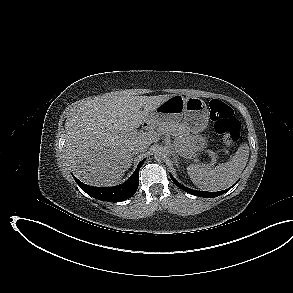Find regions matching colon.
Returning a JSON list of instances; mask_svg holds the SVG:
<instances>
[{
  "mask_svg": "<svg viewBox=\"0 0 293 293\" xmlns=\"http://www.w3.org/2000/svg\"><path fill=\"white\" fill-rule=\"evenodd\" d=\"M210 118L215 131L222 136L227 146H233L240 138L241 123L234 114L233 109L218 99L209 102Z\"/></svg>",
  "mask_w": 293,
  "mask_h": 293,
  "instance_id": "obj_1",
  "label": "colon"
}]
</instances>
